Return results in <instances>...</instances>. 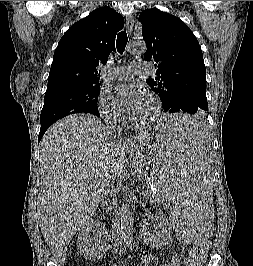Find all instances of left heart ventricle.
<instances>
[{"instance_id": "obj_1", "label": "left heart ventricle", "mask_w": 253, "mask_h": 266, "mask_svg": "<svg viewBox=\"0 0 253 266\" xmlns=\"http://www.w3.org/2000/svg\"><path fill=\"white\" fill-rule=\"evenodd\" d=\"M152 112H153V103L151 102L150 99L146 97L136 118L138 120H145L152 114Z\"/></svg>"}]
</instances>
